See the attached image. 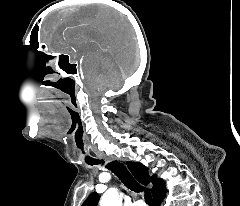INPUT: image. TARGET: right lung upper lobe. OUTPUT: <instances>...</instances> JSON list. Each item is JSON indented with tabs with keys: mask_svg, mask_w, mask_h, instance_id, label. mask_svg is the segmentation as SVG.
Returning a JSON list of instances; mask_svg holds the SVG:
<instances>
[{
	"mask_svg": "<svg viewBox=\"0 0 240 206\" xmlns=\"http://www.w3.org/2000/svg\"><path fill=\"white\" fill-rule=\"evenodd\" d=\"M127 166L129 170L132 172L134 177L143 185H147L149 183L153 184L152 196L153 199L157 198L166 193L165 183L162 179L157 178L156 175L150 176L147 168L138 162H127ZM99 201V195L96 192H93L86 201L82 204V206H97Z\"/></svg>",
	"mask_w": 240,
	"mask_h": 206,
	"instance_id": "right-lung-upper-lobe-1",
	"label": "right lung upper lobe"
}]
</instances>
